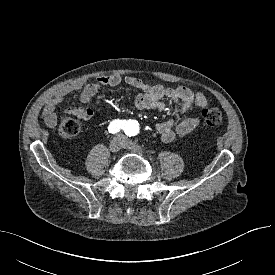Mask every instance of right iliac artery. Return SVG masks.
I'll list each match as a JSON object with an SVG mask.
<instances>
[{"instance_id": "obj_1", "label": "right iliac artery", "mask_w": 275, "mask_h": 275, "mask_svg": "<svg viewBox=\"0 0 275 275\" xmlns=\"http://www.w3.org/2000/svg\"><path fill=\"white\" fill-rule=\"evenodd\" d=\"M124 128H125V121L116 119L109 124L108 130L110 133L115 134Z\"/></svg>"}]
</instances>
